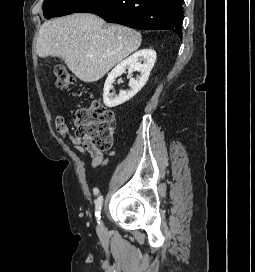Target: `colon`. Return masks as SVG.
<instances>
[{"label":"colon","mask_w":255,"mask_h":272,"mask_svg":"<svg viewBox=\"0 0 255 272\" xmlns=\"http://www.w3.org/2000/svg\"><path fill=\"white\" fill-rule=\"evenodd\" d=\"M54 74L60 89H69L76 82L75 77L65 68H56ZM74 124L78 140L101 152L111 149L115 131L112 110L94 102L76 111Z\"/></svg>","instance_id":"obj_1"}]
</instances>
